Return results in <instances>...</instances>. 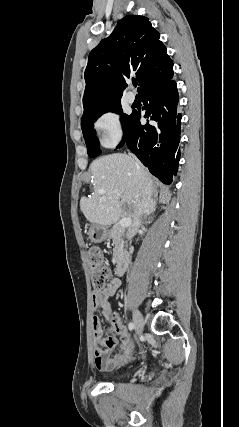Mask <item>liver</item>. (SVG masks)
<instances>
[{"instance_id": "liver-1", "label": "liver", "mask_w": 239, "mask_h": 427, "mask_svg": "<svg viewBox=\"0 0 239 427\" xmlns=\"http://www.w3.org/2000/svg\"><path fill=\"white\" fill-rule=\"evenodd\" d=\"M89 172L93 193L81 198L80 209L93 224L108 227L120 218L134 220L143 191L148 188L152 196L151 174L130 155L114 153L99 157L90 164ZM154 205L152 199L148 213Z\"/></svg>"}]
</instances>
